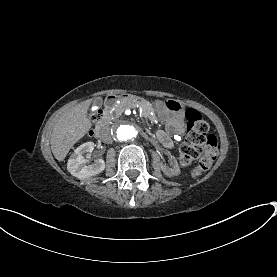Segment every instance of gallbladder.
Segmentation results:
<instances>
[{"label":"gallbladder","mask_w":277,"mask_h":277,"mask_svg":"<svg viewBox=\"0 0 277 277\" xmlns=\"http://www.w3.org/2000/svg\"><path fill=\"white\" fill-rule=\"evenodd\" d=\"M94 101L97 104H103V99L102 98H96Z\"/></svg>","instance_id":"gallbladder-1"}]
</instances>
